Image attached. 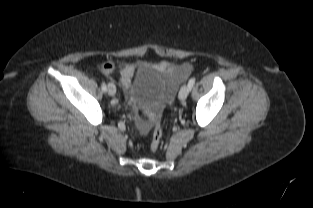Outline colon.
Segmentation results:
<instances>
[{
  "label": "colon",
  "instance_id": "5ec220e1",
  "mask_svg": "<svg viewBox=\"0 0 313 208\" xmlns=\"http://www.w3.org/2000/svg\"><path fill=\"white\" fill-rule=\"evenodd\" d=\"M141 113L145 118L151 120L155 125L151 142H150V150L152 152H156L158 148L160 147L161 140H162V128L160 125L159 118L148 109H142Z\"/></svg>",
  "mask_w": 313,
  "mask_h": 208
}]
</instances>
